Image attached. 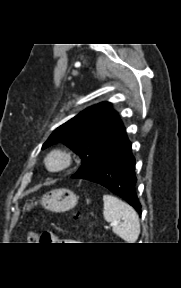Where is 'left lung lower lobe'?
<instances>
[{
    "label": "left lung lower lobe",
    "mask_w": 181,
    "mask_h": 288,
    "mask_svg": "<svg viewBox=\"0 0 181 288\" xmlns=\"http://www.w3.org/2000/svg\"><path fill=\"white\" fill-rule=\"evenodd\" d=\"M86 179L119 195L141 215V205L135 192V158L127 134L119 144L86 176Z\"/></svg>",
    "instance_id": "0a47b994"
}]
</instances>
